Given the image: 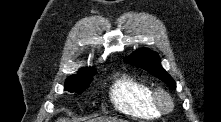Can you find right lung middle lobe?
<instances>
[{"label": "right lung middle lobe", "instance_id": "dd1d6c3e", "mask_svg": "<svg viewBox=\"0 0 221 122\" xmlns=\"http://www.w3.org/2000/svg\"><path fill=\"white\" fill-rule=\"evenodd\" d=\"M95 74L96 71L84 75L70 76L66 79L64 89L69 92L80 94L88 88Z\"/></svg>", "mask_w": 221, "mask_h": 122}]
</instances>
